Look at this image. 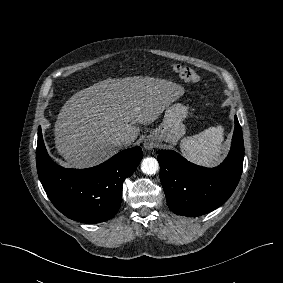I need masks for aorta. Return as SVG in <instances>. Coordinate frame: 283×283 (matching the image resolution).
Returning <instances> with one entry per match:
<instances>
[{"instance_id": "762f6f07", "label": "aorta", "mask_w": 283, "mask_h": 283, "mask_svg": "<svg viewBox=\"0 0 283 283\" xmlns=\"http://www.w3.org/2000/svg\"><path fill=\"white\" fill-rule=\"evenodd\" d=\"M159 169L158 161L153 157H146L141 162V170L144 174L153 175Z\"/></svg>"}]
</instances>
